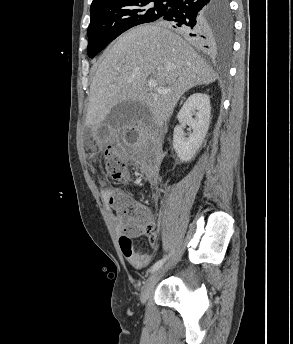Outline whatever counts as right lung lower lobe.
Segmentation results:
<instances>
[{
  "mask_svg": "<svg viewBox=\"0 0 293 344\" xmlns=\"http://www.w3.org/2000/svg\"><path fill=\"white\" fill-rule=\"evenodd\" d=\"M167 3L171 8L160 20L170 21L172 27L194 44L211 50L216 31L213 20L216 0H168Z\"/></svg>",
  "mask_w": 293,
  "mask_h": 344,
  "instance_id": "1",
  "label": "right lung lower lobe"
}]
</instances>
